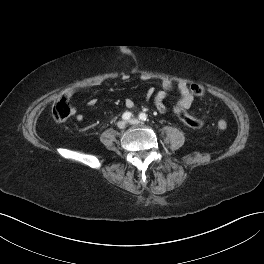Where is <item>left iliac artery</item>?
Masks as SVG:
<instances>
[{
	"instance_id": "1",
	"label": "left iliac artery",
	"mask_w": 264,
	"mask_h": 264,
	"mask_svg": "<svg viewBox=\"0 0 264 264\" xmlns=\"http://www.w3.org/2000/svg\"><path fill=\"white\" fill-rule=\"evenodd\" d=\"M139 119H140L141 121H145V120L147 119V115H146L145 113H140V114H139Z\"/></svg>"
}]
</instances>
